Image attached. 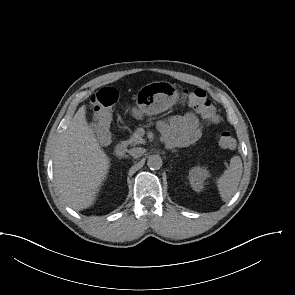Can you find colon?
Segmentation results:
<instances>
[{"label":"colon","instance_id":"colon-1","mask_svg":"<svg viewBox=\"0 0 295 295\" xmlns=\"http://www.w3.org/2000/svg\"><path fill=\"white\" fill-rule=\"evenodd\" d=\"M183 97L207 122L211 124L219 122L217 110L204 90H186L183 92ZM117 99L118 92L111 87L102 88L91 97V106L94 111V128L102 144L108 141V123L111 108ZM218 143L221 148L226 150H233L236 147V141L229 131L220 133Z\"/></svg>","mask_w":295,"mask_h":295}]
</instances>
